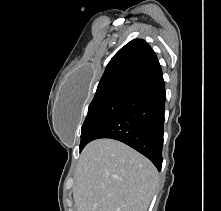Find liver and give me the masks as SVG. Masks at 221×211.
Returning <instances> with one entry per match:
<instances>
[{
  "label": "liver",
  "instance_id": "6515ba94",
  "mask_svg": "<svg viewBox=\"0 0 221 211\" xmlns=\"http://www.w3.org/2000/svg\"><path fill=\"white\" fill-rule=\"evenodd\" d=\"M158 177L155 166L126 144L113 139L92 141L76 168V210L147 211Z\"/></svg>",
  "mask_w": 221,
  "mask_h": 211
}]
</instances>
